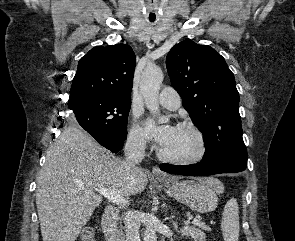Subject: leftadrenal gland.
I'll return each mask as SVG.
<instances>
[{"mask_svg": "<svg viewBox=\"0 0 295 241\" xmlns=\"http://www.w3.org/2000/svg\"><path fill=\"white\" fill-rule=\"evenodd\" d=\"M173 218H174V216L171 215V216H170V219H171V221H172V224L174 225V228H175L176 230H178V223H177L176 221H174Z\"/></svg>", "mask_w": 295, "mask_h": 241, "instance_id": "1", "label": "left adrenal gland"}]
</instances>
